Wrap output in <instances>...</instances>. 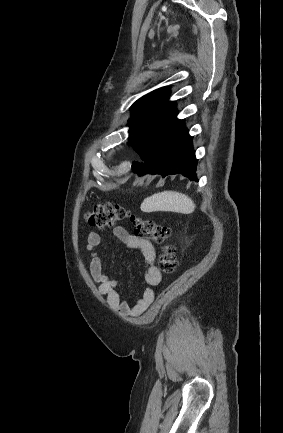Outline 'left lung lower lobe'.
Wrapping results in <instances>:
<instances>
[{
    "label": "left lung lower lobe",
    "instance_id": "obj_1",
    "mask_svg": "<svg viewBox=\"0 0 283 433\" xmlns=\"http://www.w3.org/2000/svg\"><path fill=\"white\" fill-rule=\"evenodd\" d=\"M143 163L134 162L133 171L140 176L147 173L169 174L181 173L190 180L197 181V159L192 147V137L183 125L173 131L170 127L153 130L140 149Z\"/></svg>",
    "mask_w": 283,
    "mask_h": 433
}]
</instances>
